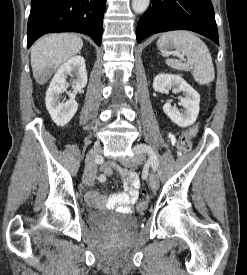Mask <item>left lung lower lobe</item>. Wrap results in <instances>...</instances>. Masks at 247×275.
<instances>
[{
  "label": "left lung lower lobe",
  "mask_w": 247,
  "mask_h": 275,
  "mask_svg": "<svg viewBox=\"0 0 247 275\" xmlns=\"http://www.w3.org/2000/svg\"><path fill=\"white\" fill-rule=\"evenodd\" d=\"M171 30L194 31L219 44L211 0H151L137 24V42Z\"/></svg>",
  "instance_id": "obj_1"
}]
</instances>
